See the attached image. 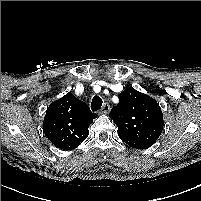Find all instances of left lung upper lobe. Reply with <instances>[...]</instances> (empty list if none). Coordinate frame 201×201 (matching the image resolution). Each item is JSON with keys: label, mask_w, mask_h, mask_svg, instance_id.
Here are the masks:
<instances>
[{"label": "left lung upper lobe", "mask_w": 201, "mask_h": 201, "mask_svg": "<svg viewBox=\"0 0 201 201\" xmlns=\"http://www.w3.org/2000/svg\"><path fill=\"white\" fill-rule=\"evenodd\" d=\"M119 97L120 102L109 114L118 126V136L133 148H149L163 130V114L159 104L132 88L125 89Z\"/></svg>", "instance_id": "5c2ea615"}]
</instances>
